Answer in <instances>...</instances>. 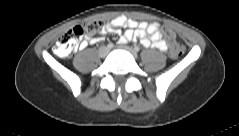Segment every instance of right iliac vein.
Masks as SVG:
<instances>
[{"mask_svg":"<svg viewBox=\"0 0 239 136\" xmlns=\"http://www.w3.org/2000/svg\"><path fill=\"white\" fill-rule=\"evenodd\" d=\"M109 52V49L107 47H100L98 50V55L101 58H105Z\"/></svg>","mask_w":239,"mask_h":136,"instance_id":"1","label":"right iliac vein"}]
</instances>
